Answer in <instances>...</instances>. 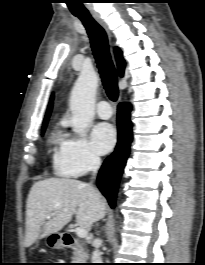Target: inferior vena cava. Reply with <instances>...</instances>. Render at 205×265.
Masks as SVG:
<instances>
[{"mask_svg":"<svg viewBox=\"0 0 205 265\" xmlns=\"http://www.w3.org/2000/svg\"><path fill=\"white\" fill-rule=\"evenodd\" d=\"M100 163H101V161H100L99 157L94 156V155H92L90 157L89 168L93 172L94 175H96V173L100 167ZM93 245L95 247H97L98 246V240H95L93 242ZM101 260H102L101 254H100L99 250L96 248L92 253V263H101Z\"/></svg>","mask_w":205,"mask_h":265,"instance_id":"1","label":"inferior vena cava"}]
</instances>
